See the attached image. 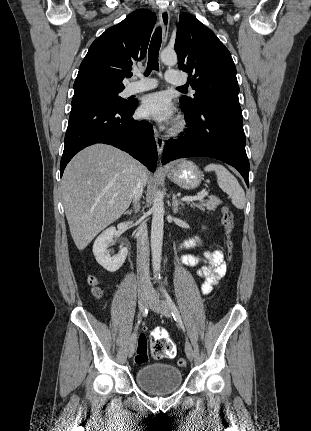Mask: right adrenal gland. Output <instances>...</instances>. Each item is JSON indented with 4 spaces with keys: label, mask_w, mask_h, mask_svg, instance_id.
Masks as SVG:
<instances>
[{
    "label": "right adrenal gland",
    "mask_w": 311,
    "mask_h": 431,
    "mask_svg": "<svg viewBox=\"0 0 311 431\" xmlns=\"http://www.w3.org/2000/svg\"><path fill=\"white\" fill-rule=\"evenodd\" d=\"M137 208H139V204H138ZM124 214H128V216H131L132 210H130V212H124Z\"/></svg>",
    "instance_id": "obj_1"
}]
</instances>
